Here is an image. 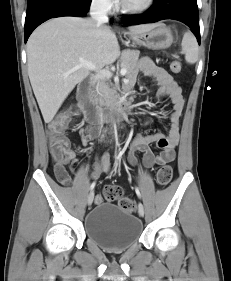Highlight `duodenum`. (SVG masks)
<instances>
[{"label":"duodenum","mask_w":231,"mask_h":281,"mask_svg":"<svg viewBox=\"0 0 231 281\" xmlns=\"http://www.w3.org/2000/svg\"><path fill=\"white\" fill-rule=\"evenodd\" d=\"M89 93V82H81L77 88V99L86 110L87 121L92 124H102L107 121H116L130 108L131 105L130 100L125 99L121 102L113 104L109 108L108 113L105 114L92 106Z\"/></svg>","instance_id":"obj_1"}]
</instances>
